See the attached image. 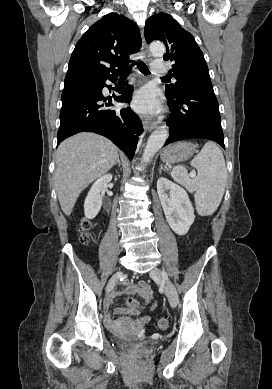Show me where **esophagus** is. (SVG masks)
<instances>
[{
	"label": "esophagus",
	"mask_w": 272,
	"mask_h": 389,
	"mask_svg": "<svg viewBox=\"0 0 272 389\" xmlns=\"http://www.w3.org/2000/svg\"><path fill=\"white\" fill-rule=\"evenodd\" d=\"M141 50H142V54H143V57H144V61L145 62H149L151 60V55H150V52H149V49H148V45H147V43L145 41L143 32H142V47H141ZM143 126H144V128L146 130L151 131L152 129H154L157 126V122H153V121H150L148 119H145V120H143Z\"/></svg>",
	"instance_id": "esophagus-1"
}]
</instances>
